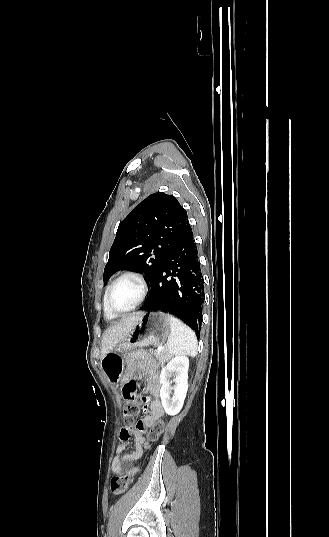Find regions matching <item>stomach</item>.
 <instances>
[{"mask_svg": "<svg viewBox=\"0 0 329 537\" xmlns=\"http://www.w3.org/2000/svg\"><path fill=\"white\" fill-rule=\"evenodd\" d=\"M171 333L170 315L162 312H144L133 329L100 361L101 368L111 382L119 381L124 352L134 347L162 345Z\"/></svg>", "mask_w": 329, "mask_h": 537, "instance_id": "0dacf381", "label": "stomach"}]
</instances>
